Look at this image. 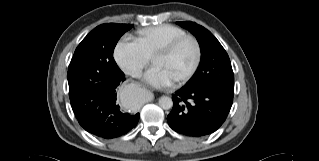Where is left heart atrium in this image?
<instances>
[{"instance_id": "1", "label": "left heart atrium", "mask_w": 319, "mask_h": 161, "mask_svg": "<svg viewBox=\"0 0 319 161\" xmlns=\"http://www.w3.org/2000/svg\"><path fill=\"white\" fill-rule=\"evenodd\" d=\"M145 80L155 87L170 86L173 80L170 76L159 66L155 65L150 68L144 75Z\"/></svg>"}]
</instances>
